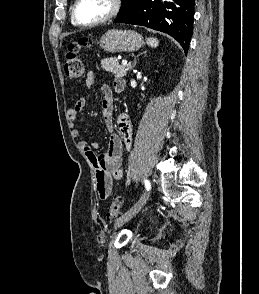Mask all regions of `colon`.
<instances>
[{
  "label": "colon",
  "instance_id": "obj_1",
  "mask_svg": "<svg viewBox=\"0 0 259 294\" xmlns=\"http://www.w3.org/2000/svg\"><path fill=\"white\" fill-rule=\"evenodd\" d=\"M91 44V39L81 38L77 42L69 45L64 65V72L69 80H80L83 77L84 65L79 57V53L81 50L89 48ZM122 206L123 197L121 195H116L108 208V218L114 219L119 214Z\"/></svg>",
  "mask_w": 259,
  "mask_h": 294
}]
</instances>
